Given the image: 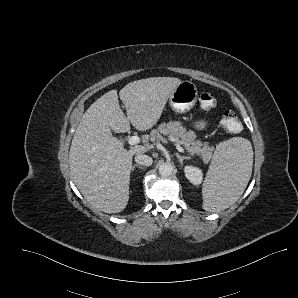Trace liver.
<instances>
[{
    "label": "liver",
    "mask_w": 298,
    "mask_h": 298,
    "mask_svg": "<svg viewBox=\"0 0 298 298\" xmlns=\"http://www.w3.org/2000/svg\"><path fill=\"white\" fill-rule=\"evenodd\" d=\"M177 77H150L126 84L98 98L83 114L69 151L70 173L87 202L104 213L123 211L129 200L132 159L147 151L135 145L129 150L112 135L153 128L177 86Z\"/></svg>",
    "instance_id": "liver-1"
}]
</instances>
